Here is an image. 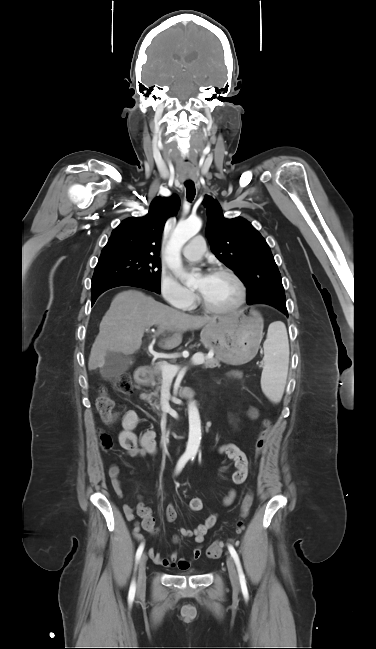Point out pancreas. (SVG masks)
<instances>
[{
	"label": "pancreas",
	"instance_id": "pancreas-1",
	"mask_svg": "<svg viewBox=\"0 0 376 649\" xmlns=\"http://www.w3.org/2000/svg\"><path fill=\"white\" fill-rule=\"evenodd\" d=\"M163 364L164 363L156 364L150 369V381L158 385L156 391L148 395H143V398L148 401L151 407L157 410H159L160 405L157 402H152V397H158V391L160 390L163 383V377L160 368ZM203 365L205 368H215L220 367V362L215 358H205Z\"/></svg>",
	"mask_w": 376,
	"mask_h": 649
}]
</instances>
